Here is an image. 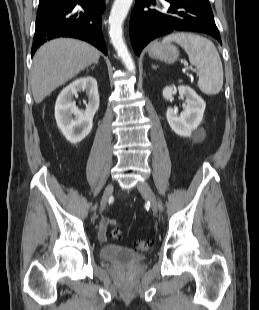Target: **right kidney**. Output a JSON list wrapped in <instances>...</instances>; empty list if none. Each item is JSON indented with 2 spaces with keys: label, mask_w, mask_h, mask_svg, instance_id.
<instances>
[{
  "label": "right kidney",
  "mask_w": 259,
  "mask_h": 310,
  "mask_svg": "<svg viewBox=\"0 0 259 310\" xmlns=\"http://www.w3.org/2000/svg\"><path fill=\"white\" fill-rule=\"evenodd\" d=\"M84 91L88 96V103L85 111H82L76 107L72 99L78 92ZM98 108L99 94L96 79L91 76L81 77L66 86L57 97L55 119L58 128L69 142L76 144L90 133L93 117Z\"/></svg>",
  "instance_id": "obj_1"
}]
</instances>
